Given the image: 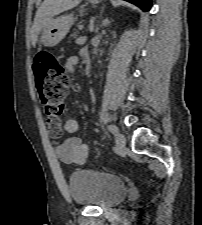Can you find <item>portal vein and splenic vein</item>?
I'll list each match as a JSON object with an SVG mask.
<instances>
[{
  "instance_id": "18ae733b",
  "label": "portal vein and splenic vein",
  "mask_w": 202,
  "mask_h": 225,
  "mask_svg": "<svg viewBox=\"0 0 202 225\" xmlns=\"http://www.w3.org/2000/svg\"><path fill=\"white\" fill-rule=\"evenodd\" d=\"M85 37H80L76 40L77 43H82L83 41H85Z\"/></svg>"
}]
</instances>
